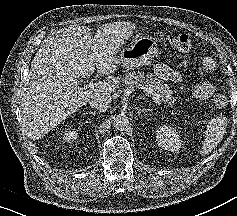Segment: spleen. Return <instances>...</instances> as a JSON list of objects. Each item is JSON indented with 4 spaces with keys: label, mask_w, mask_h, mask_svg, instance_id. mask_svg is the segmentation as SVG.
I'll return each mask as SVG.
<instances>
[{
    "label": "spleen",
    "mask_w": 237,
    "mask_h": 216,
    "mask_svg": "<svg viewBox=\"0 0 237 216\" xmlns=\"http://www.w3.org/2000/svg\"><path fill=\"white\" fill-rule=\"evenodd\" d=\"M209 143H210V140L206 139V140L203 142V147L206 148Z\"/></svg>",
    "instance_id": "obj_1"
}]
</instances>
